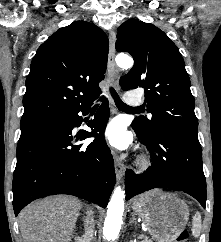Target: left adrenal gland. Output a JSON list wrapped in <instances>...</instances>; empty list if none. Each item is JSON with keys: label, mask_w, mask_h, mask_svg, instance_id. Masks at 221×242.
<instances>
[{"label": "left adrenal gland", "mask_w": 221, "mask_h": 242, "mask_svg": "<svg viewBox=\"0 0 221 242\" xmlns=\"http://www.w3.org/2000/svg\"><path fill=\"white\" fill-rule=\"evenodd\" d=\"M130 223H134L135 225L137 224L134 214H132V217L130 218Z\"/></svg>", "instance_id": "a2214340"}]
</instances>
